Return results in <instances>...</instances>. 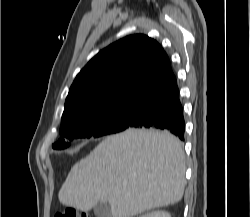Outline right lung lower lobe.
Here are the masks:
<instances>
[{
  "instance_id": "obj_1",
  "label": "right lung lower lobe",
  "mask_w": 250,
  "mask_h": 217,
  "mask_svg": "<svg viewBox=\"0 0 250 217\" xmlns=\"http://www.w3.org/2000/svg\"><path fill=\"white\" fill-rule=\"evenodd\" d=\"M167 130L184 140L185 122L176 77L146 92L138 99L128 128Z\"/></svg>"
}]
</instances>
